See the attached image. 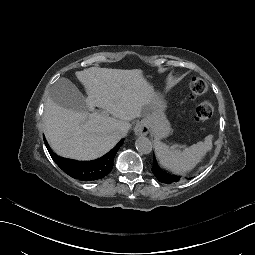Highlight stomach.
Wrapping results in <instances>:
<instances>
[{
  "mask_svg": "<svg viewBox=\"0 0 255 255\" xmlns=\"http://www.w3.org/2000/svg\"><path fill=\"white\" fill-rule=\"evenodd\" d=\"M145 95L146 97L155 100L158 103L159 108L158 112L153 108V113L148 114L140 124L145 131L150 130L157 138H162L170 131V123L165 116L169 113L171 103L168 101L166 94L161 93L160 90L153 87L146 88Z\"/></svg>",
  "mask_w": 255,
  "mask_h": 255,
  "instance_id": "1",
  "label": "stomach"
}]
</instances>
